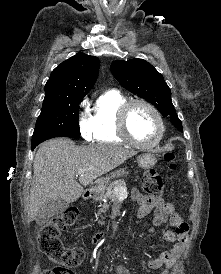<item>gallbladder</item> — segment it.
<instances>
[{
    "instance_id": "bac80fb5",
    "label": "gallbladder",
    "mask_w": 221,
    "mask_h": 274,
    "mask_svg": "<svg viewBox=\"0 0 221 274\" xmlns=\"http://www.w3.org/2000/svg\"><path fill=\"white\" fill-rule=\"evenodd\" d=\"M69 207V202L59 200H49L41 208L36 217L38 224L47 222L51 217L62 214Z\"/></svg>"
}]
</instances>
